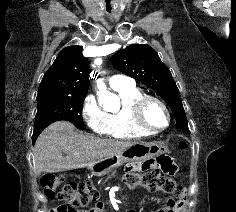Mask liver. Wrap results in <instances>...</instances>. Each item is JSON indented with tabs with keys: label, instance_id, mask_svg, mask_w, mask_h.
Listing matches in <instances>:
<instances>
[{
	"label": "liver",
	"instance_id": "6515ba94",
	"mask_svg": "<svg viewBox=\"0 0 236 212\" xmlns=\"http://www.w3.org/2000/svg\"><path fill=\"white\" fill-rule=\"evenodd\" d=\"M136 143L83 134L71 123L59 121L48 126L36 140L34 166L38 174L90 167Z\"/></svg>",
	"mask_w": 236,
	"mask_h": 212
}]
</instances>
